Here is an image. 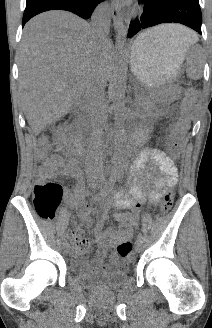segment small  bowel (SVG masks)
<instances>
[{"label":"small bowel","instance_id":"small-bowel-1","mask_svg":"<svg viewBox=\"0 0 212 328\" xmlns=\"http://www.w3.org/2000/svg\"><path fill=\"white\" fill-rule=\"evenodd\" d=\"M152 161L157 170L152 173L146 170L147 163ZM131 175L133 183L130 193L127 195L119 190L113 199V205L125 213L114 215L119 223L117 228L105 229L106 212L111 204L104 206L102 217L96 227V242L99 249L94 257L88 261L89 270L107 274L117 271L121 268L119 257L111 253L109 261L105 262V257L115 244L123 239H130L138 222V213L145 201L152 204H158L162 198V192L165 189L173 187L177 182V168L172 159L163 151L157 148H146L135 159L131 166ZM43 173L50 176L75 177L79 181V188L74 194L66 193L67 202L71 209L77 213L79 221L85 227H90L92 220L89 216V209L85 203V192L81 187L82 172L78 162L71 160L64 163L59 155H53L46 160ZM152 186V188H151ZM78 239L74 242L73 257L81 256L87 253L89 241L84 237L83 231L77 232Z\"/></svg>","mask_w":212,"mask_h":328}]
</instances>
